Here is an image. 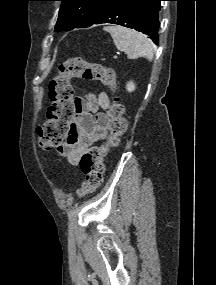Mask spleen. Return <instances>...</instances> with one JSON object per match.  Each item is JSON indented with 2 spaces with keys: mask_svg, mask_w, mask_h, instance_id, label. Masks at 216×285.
<instances>
[{
  "mask_svg": "<svg viewBox=\"0 0 216 285\" xmlns=\"http://www.w3.org/2000/svg\"><path fill=\"white\" fill-rule=\"evenodd\" d=\"M104 30L111 34L116 48L125 52L128 59L139 57H145L149 61L153 59V46L144 34L121 26H107Z\"/></svg>",
  "mask_w": 216,
  "mask_h": 285,
  "instance_id": "1",
  "label": "spleen"
}]
</instances>
